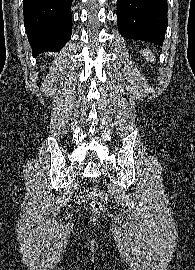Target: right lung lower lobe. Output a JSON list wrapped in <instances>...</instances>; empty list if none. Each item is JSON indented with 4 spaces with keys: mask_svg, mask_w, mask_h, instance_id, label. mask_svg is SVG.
<instances>
[{
    "mask_svg": "<svg viewBox=\"0 0 195 270\" xmlns=\"http://www.w3.org/2000/svg\"><path fill=\"white\" fill-rule=\"evenodd\" d=\"M72 0H24V26L32 55L59 51L72 30Z\"/></svg>",
    "mask_w": 195,
    "mask_h": 270,
    "instance_id": "1",
    "label": "right lung lower lobe"
}]
</instances>
